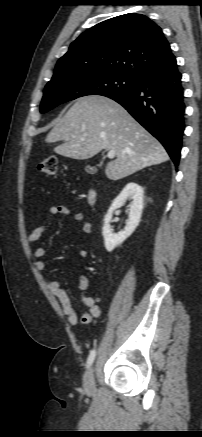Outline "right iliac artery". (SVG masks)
I'll list each match as a JSON object with an SVG mask.
<instances>
[{
  "instance_id": "obj_1",
  "label": "right iliac artery",
  "mask_w": 202,
  "mask_h": 437,
  "mask_svg": "<svg viewBox=\"0 0 202 437\" xmlns=\"http://www.w3.org/2000/svg\"><path fill=\"white\" fill-rule=\"evenodd\" d=\"M95 355H96V351L93 349V350L90 352V354H89V356H88V359H87V363H86V367H87V368H89V367L92 365V363H93V361H94V359H95Z\"/></svg>"
}]
</instances>
